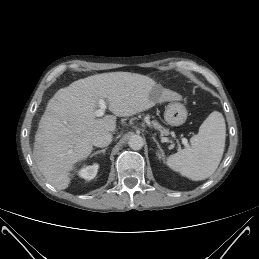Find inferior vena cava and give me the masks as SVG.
<instances>
[{
	"mask_svg": "<svg viewBox=\"0 0 259 259\" xmlns=\"http://www.w3.org/2000/svg\"><path fill=\"white\" fill-rule=\"evenodd\" d=\"M112 141V134L110 132H104L97 135L93 140V145L96 147H106Z\"/></svg>",
	"mask_w": 259,
	"mask_h": 259,
	"instance_id": "602c4592",
	"label": "inferior vena cava"
}]
</instances>
